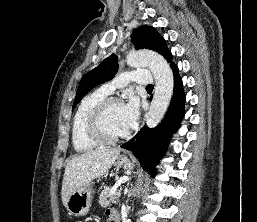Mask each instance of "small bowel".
<instances>
[{
	"label": "small bowel",
	"mask_w": 257,
	"mask_h": 222,
	"mask_svg": "<svg viewBox=\"0 0 257 222\" xmlns=\"http://www.w3.org/2000/svg\"><path fill=\"white\" fill-rule=\"evenodd\" d=\"M108 222H116V214L114 211L107 212Z\"/></svg>",
	"instance_id": "small-bowel-1"
}]
</instances>
